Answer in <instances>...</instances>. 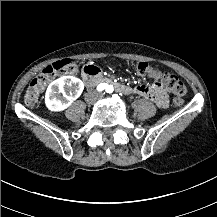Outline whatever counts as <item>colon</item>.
<instances>
[{
    "label": "colon",
    "mask_w": 217,
    "mask_h": 217,
    "mask_svg": "<svg viewBox=\"0 0 217 217\" xmlns=\"http://www.w3.org/2000/svg\"><path fill=\"white\" fill-rule=\"evenodd\" d=\"M78 69L79 66L72 57L55 61L48 69L41 68L36 78H34L27 87L24 95L25 105L30 108L36 106L40 92L44 86L48 85L49 81L54 82L63 76L73 75L77 73ZM135 69L140 74H154L158 77V87L168 88L173 94L184 95L188 93L186 85L176 75L158 69L148 70V64L143 61L136 62ZM152 95L156 98L159 96L158 93H152ZM173 102L176 105H181L184 102V98H173Z\"/></svg>",
    "instance_id": "colon-1"
}]
</instances>
